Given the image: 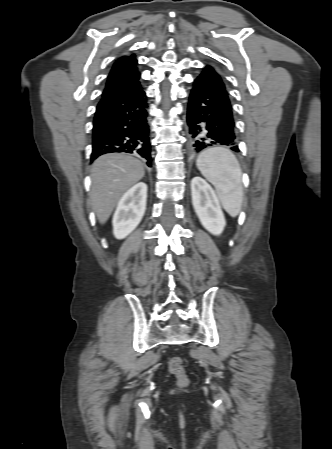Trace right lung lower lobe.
<instances>
[{
  "instance_id": "right-lung-lower-lobe-1",
  "label": "right lung lower lobe",
  "mask_w": 332,
  "mask_h": 449,
  "mask_svg": "<svg viewBox=\"0 0 332 449\" xmlns=\"http://www.w3.org/2000/svg\"><path fill=\"white\" fill-rule=\"evenodd\" d=\"M145 92L102 98L93 122L91 161L100 155L124 152L139 155L151 166Z\"/></svg>"
}]
</instances>
